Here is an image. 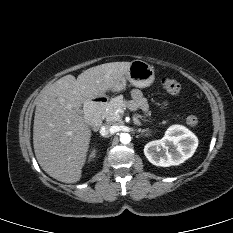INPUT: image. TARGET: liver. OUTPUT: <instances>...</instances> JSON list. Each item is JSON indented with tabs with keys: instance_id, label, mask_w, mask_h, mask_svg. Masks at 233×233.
<instances>
[{
	"instance_id": "1",
	"label": "liver",
	"mask_w": 233,
	"mask_h": 233,
	"mask_svg": "<svg viewBox=\"0 0 233 233\" xmlns=\"http://www.w3.org/2000/svg\"><path fill=\"white\" fill-rule=\"evenodd\" d=\"M130 63L101 64L85 70L77 79L66 75L42 89L36 98L33 146L39 165L49 176L64 183L80 180L91 130L77 111L111 90Z\"/></svg>"
}]
</instances>
